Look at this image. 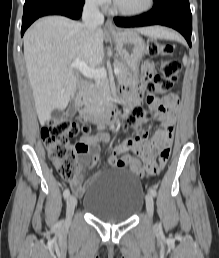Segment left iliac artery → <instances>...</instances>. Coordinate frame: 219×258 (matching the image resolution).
Returning <instances> with one entry per match:
<instances>
[{
  "label": "left iliac artery",
  "instance_id": "obj_1",
  "mask_svg": "<svg viewBox=\"0 0 219 258\" xmlns=\"http://www.w3.org/2000/svg\"><path fill=\"white\" fill-rule=\"evenodd\" d=\"M149 193L154 197L157 195L156 189L153 187L149 188Z\"/></svg>",
  "mask_w": 219,
  "mask_h": 258
}]
</instances>
